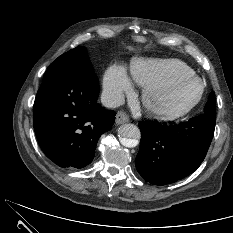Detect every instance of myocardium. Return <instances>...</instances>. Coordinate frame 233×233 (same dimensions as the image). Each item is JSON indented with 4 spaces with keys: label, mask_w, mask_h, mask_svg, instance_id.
<instances>
[{
    "label": "myocardium",
    "mask_w": 233,
    "mask_h": 233,
    "mask_svg": "<svg viewBox=\"0 0 233 233\" xmlns=\"http://www.w3.org/2000/svg\"><path fill=\"white\" fill-rule=\"evenodd\" d=\"M189 80L197 82L200 85V91L197 97L187 106L179 110H170L160 106L155 102L154 96L158 92L169 89L183 81ZM204 94L205 85L198 76H196L195 74L181 75L162 83H157L144 87L142 91L141 101L142 106L148 115L160 121L172 122L180 120L190 114L200 104L204 97Z\"/></svg>",
    "instance_id": "f54148a6"
}]
</instances>
